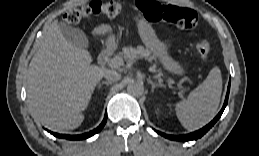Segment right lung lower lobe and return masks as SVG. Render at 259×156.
I'll return each instance as SVG.
<instances>
[{
	"instance_id": "98d812e1",
	"label": "right lung lower lobe",
	"mask_w": 259,
	"mask_h": 156,
	"mask_svg": "<svg viewBox=\"0 0 259 156\" xmlns=\"http://www.w3.org/2000/svg\"><path fill=\"white\" fill-rule=\"evenodd\" d=\"M106 121H107V113H105V117H104L102 123L96 129L91 130L87 133L80 134V135H66V134H58V133L51 132V134H53L56 137L65 138V139H69V140L85 139V138H89V137L93 136L94 134L100 132L102 130V128L104 127V125L106 124Z\"/></svg>"
}]
</instances>
